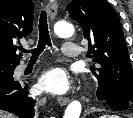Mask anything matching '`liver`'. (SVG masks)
Listing matches in <instances>:
<instances>
[{
	"label": "liver",
	"mask_w": 133,
	"mask_h": 118,
	"mask_svg": "<svg viewBox=\"0 0 133 118\" xmlns=\"http://www.w3.org/2000/svg\"><path fill=\"white\" fill-rule=\"evenodd\" d=\"M0 118H16L14 115L0 110Z\"/></svg>",
	"instance_id": "liver-1"
}]
</instances>
